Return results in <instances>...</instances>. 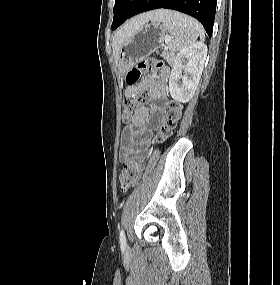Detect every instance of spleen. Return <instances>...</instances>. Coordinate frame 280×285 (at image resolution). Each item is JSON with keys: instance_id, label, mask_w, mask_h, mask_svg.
<instances>
[{"instance_id": "spleen-1", "label": "spleen", "mask_w": 280, "mask_h": 285, "mask_svg": "<svg viewBox=\"0 0 280 285\" xmlns=\"http://www.w3.org/2000/svg\"><path fill=\"white\" fill-rule=\"evenodd\" d=\"M156 12L157 15L152 21L162 22L170 33L169 49L171 52L181 51L192 45L198 37L201 40L204 39L203 27L192 17L165 9Z\"/></svg>"}]
</instances>
